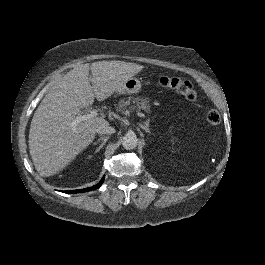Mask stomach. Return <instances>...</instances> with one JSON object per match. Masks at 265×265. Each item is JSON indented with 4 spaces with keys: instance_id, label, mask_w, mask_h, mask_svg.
Returning a JSON list of instances; mask_svg holds the SVG:
<instances>
[{
    "instance_id": "1",
    "label": "stomach",
    "mask_w": 265,
    "mask_h": 265,
    "mask_svg": "<svg viewBox=\"0 0 265 265\" xmlns=\"http://www.w3.org/2000/svg\"><path fill=\"white\" fill-rule=\"evenodd\" d=\"M141 89V82L137 78H128L116 89L118 94H134Z\"/></svg>"
}]
</instances>
